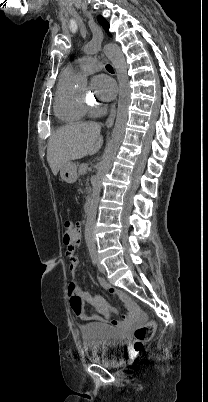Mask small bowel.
Listing matches in <instances>:
<instances>
[{
	"instance_id": "1",
	"label": "small bowel",
	"mask_w": 208,
	"mask_h": 402,
	"mask_svg": "<svg viewBox=\"0 0 208 402\" xmlns=\"http://www.w3.org/2000/svg\"><path fill=\"white\" fill-rule=\"evenodd\" d=\"M74 231H75V236L72 238V241L69 242V247L67 248V255L69 256L70 259V270L72 272H75L78 266V258L75 254L76 248L80 246L81 242V237H82V222L81 221H76L74 224ZM100 285L105 289V290H110L109 284L104 280V279H99ZM67 296L70 299L72 296H79L83 302H86L89 306H91L95 313H90L88 311H85L84 313L80 316L83 319V322L85 324H90L93 319L96 318H104L107 319L112 325H118L122 330H131L133 327V324H142L145 321V318L142 316V312L140 309H134V304L131 302L129 299V295L127 292H118L115 295V292L113 290H110L108 292V295L112 298H116L118 301H122L126 308H127V314L123 315L121 320L114 319L110 317V310L107 302L98 296H93L91 294L82 292L75 280H72L68 283L67 286ZM130 301V303L127 302Z\"/></svg>"
}]
</instances>
